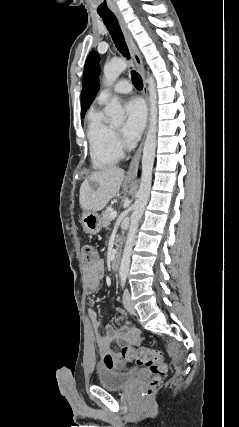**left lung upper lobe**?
<instances>
[{"label": "left lung upper lobe", "mask_w": 239, "mask_h": 427, "mask_svg": "<svg viewBox=\"0 0 239 427\" xmlns=\"http://www.w3.org/2000/svg\"><path fill=\"white\" fill-rule=\"evenodd\" d=\"M99 55L97 52L92 51L87 57L84 74H83V89H82V97H81V116H85L86 109L90 107L93 100L96 97V94L99 90Z\"/></svg>", "instance_id": "obj_1"}]
</instances>
